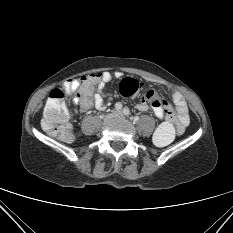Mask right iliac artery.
I'll return each mask as SVG.
<instances>
[{"instance_id": "right-iliac-artery-1", "label": "right iliac artery", "mask_w": 233, "mask_h": 233, "mask_svg": "<svg viewBox=\"0 0 233 233\" xmlns=\"http://www.w3.org/2000/svg\"><path fill=\"white\" fill-rule=\"evenodd\" d=\"M115 107H116L117 110H121L122 109V105L120 103H117Z\"/></svg>"}]
</instances>
